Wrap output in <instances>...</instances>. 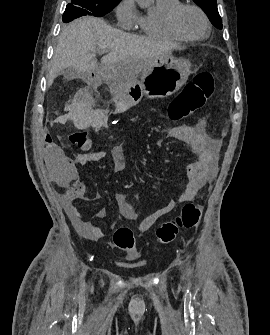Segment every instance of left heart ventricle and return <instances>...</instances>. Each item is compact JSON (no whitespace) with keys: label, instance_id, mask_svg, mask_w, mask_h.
I'll list each match as a JSON object with an SVG mask.
<instances>
[{"label":"left heart ventricle","instance_id":"b2bd125f","mask_svg":"<svg viewBox=\"0 0 270 335\" xmlns=\"http://www.w3.org/2000/svg\"><path fill=\"white\" fill-rule=\"evenodd\" d=\"M179 26L184 33L191 37L204 34L205 25L200 14L191 8L184 9L179 15Z\"/></svg>","mask_w":270,"mask_h":335}]
</instances>
